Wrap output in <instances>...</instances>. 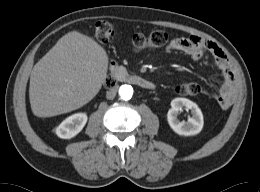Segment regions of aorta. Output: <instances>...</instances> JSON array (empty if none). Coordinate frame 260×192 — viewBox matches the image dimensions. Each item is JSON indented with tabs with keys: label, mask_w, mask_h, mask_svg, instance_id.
<instances>
[{
	"label": "aorta",
	"mask_w": 260,
	"mask_h": 192,
	"mask_svg": "<svg viewBox=\"0 0 260 192\" xmlns=\"http://www.w3.org/2000/svg\"><path fill=\"white\" fill-rule=\"evenodd\" d=\"M119 96L121 97V99L123 100H130L132 98L133 95V88L130 85H122L119 88Z\"/></svg>",
	"instance_id": "aorta-1"
}]
</instances>
